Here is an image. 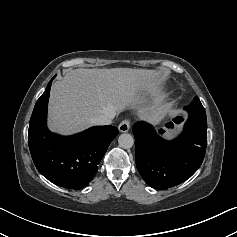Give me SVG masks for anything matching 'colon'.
<instances>
[{
  "label": "colon",
  "mask_w": 237,
  "mask_h": 237,
  "mask_svg": "<svg viewBox=\"0 0 237 237\" xmlns=\"http://www.w3.org/2000/svg\"><path fill=\"white\" fill-rule=\"evenodd\" d=\"M183 122H184L183 117H181V116L176 117L175 118V125H173V129H177L178 127H180Z\"/></svg>",
  "instance_id": "5ec220e1"
}]
</instances>
